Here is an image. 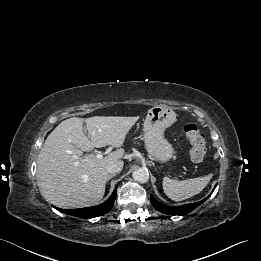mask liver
<instances>
[{
  "mask_svg": "<svg viewBox=\"0 0 261 261\" xmlns=\"http://www.w3.org/2000/svg\"><path fill=\"white\" fill-rule=\"evenodd\" d=\"M139 117H72L62 121L47 137L37 159L41 195L60 208L97 204L104 196L107 167L122 161V145ZM85 123L89 137L85 135ZM111 145L116 150L97 158L83 152Z\"/></svg>",
  "mask_w": 261,
  "mask_h": 261,
  "instance_id": "1",
  "label": "liver"
}]
</instances>
